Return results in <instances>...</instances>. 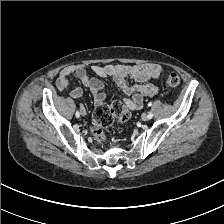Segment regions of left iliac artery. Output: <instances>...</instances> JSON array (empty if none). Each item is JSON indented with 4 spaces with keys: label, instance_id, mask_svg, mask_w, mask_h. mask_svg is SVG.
I'll use <instances>...</instances> for the list:
<instances>
[{
    "label": "left iliac artery",
    "instance_id": "left-iliac-artery-1",
    "mask_svg": "<svg viewBox=\"0 0 224 224\" xmlns=\"http://www.w3.org/2000/svg\"><path fill=\"white\" fill-rule=\"evenodd\" d=\"M151 105H152L151 102L148 103V106H151ZM148 117H149V119H151V118L153 117V113H152V112H149V113H148Z\"/></svg>",
    "mask_w": 224,
    "mask_h": 224
}]
</instances>
